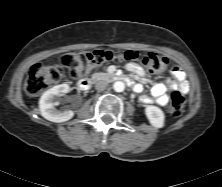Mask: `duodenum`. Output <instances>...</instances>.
<instances>
[{"label":"duodenum","mask_w":222,"mask_h":187,"mask_svg":"<svg viewBox=\"0 0 222 187\" xmlns=\"http://www.w3.org/2000/svg\"><path fill=\"white\" fill-rule=\"evenodd\" d=\"M102 78L111 79V80H115V81H122V82H125L128 84L132 83V78L130 76L125 75V74H121V73H115V72L109 73L104 77L97 75V76H95L94 79L98 80V79H102ZM91 83H92V81L90 79L81 80L78 84V88L82 91H86L91 87Z\"/></svg>","instance_id":"obj_1"}]
</instances>
